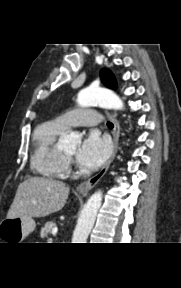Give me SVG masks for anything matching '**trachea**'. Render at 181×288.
I'll return each instance as SVG.
<instances>
[{"label": "trachea", "instance_id": "1", "mask_svg": "<svg viewBox=\"0 0 181 288\" xmlns=\"http://www.w3.org/2000/svg\"><path fill=\"white\" fill-rule=\"evenodd\" d=\"M107 126L108 128L112 129L114 127V125L111 122H107Z\"/></svg>", "mask_w": 181, "mask_h": 288}]
</instances>
